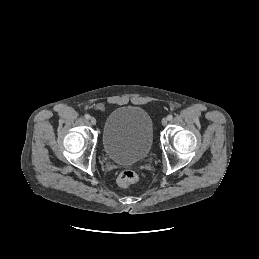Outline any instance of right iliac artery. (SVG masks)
<instances>
[{
    "label": "right iliac artery",
    "instance_id": "82829eb1",
    "mask_svg": "<svg viewBox=\"0 0 259 259\" xmlns=\"http://www.w3.org/2000/svg\"><path fill=\"white\" fill-rule=\"evenodd\" d=\"M85 118H86V119H90V115H89V114H86V115H85Z\"/></svg>",
    "mask_w": 259,
    "mask_h": 259
}]
</instances>
